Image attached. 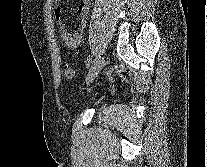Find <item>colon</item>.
I'll return each instance as SVG.
<instances>
[{"label":"colon","instance_id":"5ec220e1","mask_svg":"<svg viewBox=\"0 0 207 167\" xmlns=\"http://www.w3.org/2000/svg\"><path fill=\"white\" fill-rule=\"evenodd\" d=\"M64 75L67 79H74L76 76V71L69 65L64 66Z\"/></svg>","mask_w":207,"mask_h":167}]
</instances>
